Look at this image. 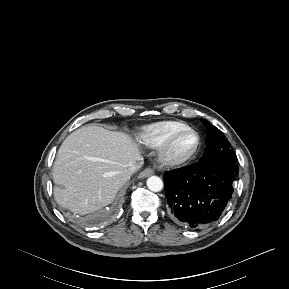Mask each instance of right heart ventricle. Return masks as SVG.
<instances>
[{"label": "right heart ventricle", "instance_id": "obj_1", "mask_svg": "<svg viewBox=\"0 0 289 289\" xmlns=\"http://www.w3.org/2000/svg\"><path fill=\"white\" fill-rule=\"evenodd\" d=\"M190 128L179 120H166L153 123L143 128L139 140L147 147L155 148L164 144L173 134Z\"/></svg>", "mask_w": 289, "mask_h": 289}]
</instances>
